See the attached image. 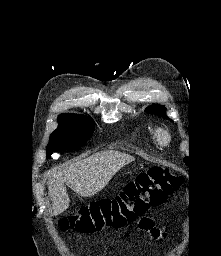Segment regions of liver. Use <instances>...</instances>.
<instances>
[{
    "label": "liver",
    "mask_w": 221,
    "mask_h": 256,
    "mask_svg": "<svg viewBox=\"0 0 221 256\" xmlns=\"http://www.w3.org/2000/svg\"><path fill=\"white\" fill-rule=\"evenodd\" d=\"M133 161L134 157L129 154L106 150L53 169L48 180L53 215L69 207L65 184L81 197H92L104 189L122 167Z\"/></svg>",
    "instance_id": "obj_1"
}]
</instances>
